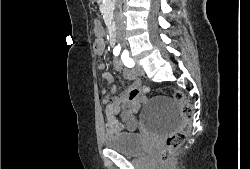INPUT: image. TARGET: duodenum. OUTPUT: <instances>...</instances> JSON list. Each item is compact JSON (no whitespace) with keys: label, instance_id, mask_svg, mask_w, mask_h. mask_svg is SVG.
Here are the masks:
<instances>
[{"label":"duodenum","instance_id":"obj_1","mask_svg":"<svg viewBox=\"0 0 250 169\" xmlns=\"http://www.w3.org/2000/svg\"><path fill=\"white\" fill-rule=\"evenodd\" d=\"M109 37L112 43H116L117 41V34L116 31L113 27L110 28V33H109Z\"/></svg>","mask_w":250,"mask_h":169}]
</instances>
